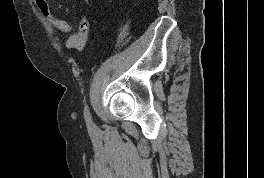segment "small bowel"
I'll return each mask as SVG.
<instances>
[{
    "mask_svg": "<svg viewBox=\"0 0 264 178\" xmlns=\"http://www.w3.org/2000/svg\"><path fill=\"white\" fill-rule=\"evenodd\" d=\"M34 2L39 12L51 27L63 33H68L72 30L71 23L54 15L47 0H34Z\"/></svg>",
    "mask_w": 264,
    "mask_h": 178,
    "instance_id": "c3829d8e",
    "label": "small bowel"
}]
</instances>
